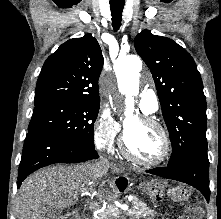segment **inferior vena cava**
I'll return each mask as SVG.
<instances>
[{
  "label": "inferior vena cava",
  "mask_w": 221,
  "mask_h": 219,
  "mask_svg": "<svg viewBox=\"0 0 221 219\" xmlns=\"http://www.w3.org/2000/svg\"><path fill=\"white\" fill-rule=\"evenodd\" d=\"M99 163L102 164V165H110V162L105 158H101Z\"/></svg>",
  "instance_id": "inferior-vena-cava-1"
}]
</instances>
